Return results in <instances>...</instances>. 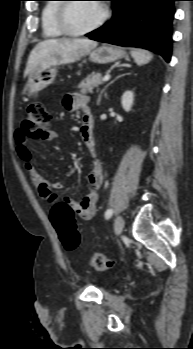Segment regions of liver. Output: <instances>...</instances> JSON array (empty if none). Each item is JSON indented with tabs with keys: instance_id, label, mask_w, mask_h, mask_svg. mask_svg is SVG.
<instances>
[{
	"instance_id": "liver-1",
	"label": "liver",
	"mask_w": 193,
	"mask_h": 349,
	"mask_svg": "<svg viewBox=\"0 0 193 349\" xmlns=\"http://www.w3.org/2000/svg\"><path fill=\"white\" fill-rule=\"evenodd\" d=\"M97 42L89 39H48L38 43L31 51L24 77L36 69L73 63L90 53Z\"/></svg>"
}]
</instances>
